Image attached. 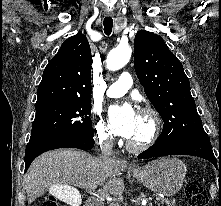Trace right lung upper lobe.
<instances>
[{
  "instance_id": "obj_1",
  "label": "right lung upper lobe",
  "mask_w": 221,
  "mask_h": 206,
  "mask_svg": "<svg viewBox=\"0 0 221 206\" xmlns=\"http://www.w3.org/2000/svg\"><path fill=\"white\" fill-rule=\"evenodd\" d=\"M92 55L85 35L68 38L46 66L36 107L54 103H91Z\"/></svg>"
}]
</instances>
